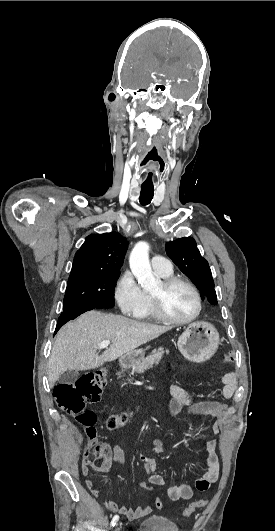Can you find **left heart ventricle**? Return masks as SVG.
Segmentation results:
<instances>
[{
	"label": "left heart ventricle",
	"instance_id": "b2bd125f",
	"mask_svg": "<svg viewBox=\"0 0 275 531\" xmlns=\"http://www.w3.org/2000/svg\"><path fill=\"white\" fill-rule=\"evenodd\" d=\"M162 292L165 311L176 319H184L192 315L196 308L195 298L188 287L181 283L163 289L161 281L151 293Z\"/></svg>",
	"mask_w": 275,
	"mask_h": 531
}]
</instances>
